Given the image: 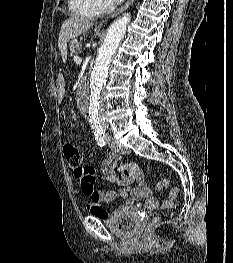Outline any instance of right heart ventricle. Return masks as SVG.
Wrapping results in <instances>:
<instances>
[{
    "label": "right heart ventricle",
    "mask_w": 233,
    "mask_h": 263,
    "mask_svg": "<svg viewBox=\"0 0 233 263\" xmlns=\"http://www.w3.org/2000/svg\"><path fill=\"white\" fill-rule=\"evenodd\" d=\"M71 9L79 17L92 19L100 14L95 0H71Z\"/></svg>",
    "instance_id": "right-heart-ventricle-1"
}]
</instances>
